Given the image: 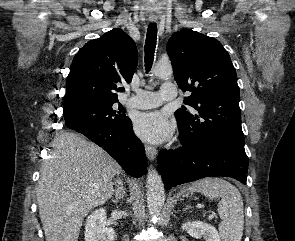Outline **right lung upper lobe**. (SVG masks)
Returning <instances> with one entry per match:
<instances>
[{"mask_svg": "<svg viewBox=\"0 0 295 241\" xmlns=\"http://www.w3.org/2000/svg\"><path fill=\"white\" fill-rule=\"evenodd\" d=\"M134 41L113 29L86 43L75 55L66 81L64 112L94 104L115 103L121 84L130 83L137 66Z\"/></svg>", "mask_w": 295, "mask_h": 241, "instance_id": "cb5924a9", "label": "right lung upper lobe"}]
</instances>
